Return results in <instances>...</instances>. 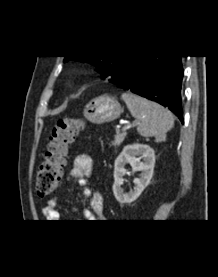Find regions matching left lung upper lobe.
I'll list each match as a JSON object with an SVG mask.
<instances>
[{"instance_id": "5c2ea615", "label": "left lung upper lobe", "mask_w": 218, "mask_h": 277, "mask_svg": "<svg viewBox=\"0 0 218 277\" xmlns=\"http://www.w3.org/2000/svg\"><path fill=\"white\" fill-rule=\"evenodd\" d=\"M134 57V55L121 56H81L69 57L66 56L64 61L77 60L82 62H89L94 65L98 72L104 78H111L115 73L121 71L125 65Z\"/></svg>"}]
</instances>
